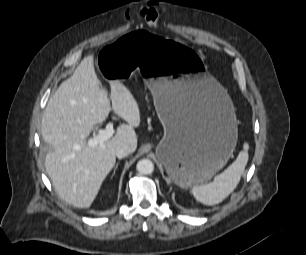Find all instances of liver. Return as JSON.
Returning <instances> with one entry per match:
<instances>
[{
    "mask_svg": "<svg viewBox=\"0 0 306 255\" xmlns=\"http://www.w3.org/2000/svg\"><path fill=\"white\" fill-rule=\"evenodd\" d=\"M109 84L110 98L97 78L93 56H87L61 83L42 116L43 140L53 148L45 158L46 172L58 195L75 207L91 206L115 165L118 145L128 144L133 152L137 148L134 128L141 122L139 105L120 80H109ZM111 110L128 124L117 127L102 145L88 146L87 137Z\"/></svg>",
    "mask_w": 306,
    "mask_h": 255,
    "instance_id": "1",
    "label": "liver"
}]
</instances>
